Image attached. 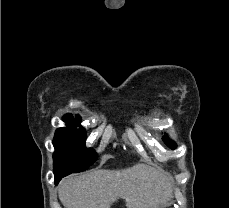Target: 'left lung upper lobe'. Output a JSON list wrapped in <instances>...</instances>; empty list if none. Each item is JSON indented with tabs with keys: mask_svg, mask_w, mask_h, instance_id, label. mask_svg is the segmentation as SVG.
<instances>
[{
	"mask_svg": "<svg viewBox=\"0 0 229 208\" xmlns=\"http://www.w3.org/2000/svg\"><path fill=\"white\" fill-rule=\"evenodd\" d=\"M165 143L172 149L176 148V144L172 142L171 140H165Z\"/></svg>",
	"mask_w": 229,
	"mask_h": 208,
	"instance_id": "left-lung-upper-lobe-1",
	"label": "left lung upper lobe"
}]
</instances>
